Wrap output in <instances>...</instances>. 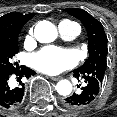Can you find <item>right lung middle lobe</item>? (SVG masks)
<instances>
[{
    "mask_svg": "<svg viewBox=\"0 0 117 117\" xmlns=\"http://www.w3.org/2000/svg\"><path fill=\"white\" fill-rule=\"evenodd\" d=\"M18 52V37L0 36V73L16 69L12 64V58Z\"/></svg>",
    "mask_w": 117,
    "mask_h": 117,
    "instance_id": "obj_1",
    "label": "right lung middle lobe"
}]
</instances>
